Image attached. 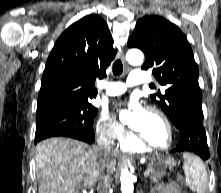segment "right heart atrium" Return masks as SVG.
<instances>
[{"instance_id": "right-heart-atrium-1", "label": "right heart atrium", "mask_w": 221, "mask_h": 193, "mask_svg": "<svg viewBox=\"0 0 221 193\" xmlns=\"http://www.w3.org/2000/svg\"><path fill=\"white\" fill-rule=\"evenodd\" d=\"M98 138L109 144H119L125 140L127 131L123 125L112 118L107 112H102L96 122Z\"/></svg>"}]
</instances>
